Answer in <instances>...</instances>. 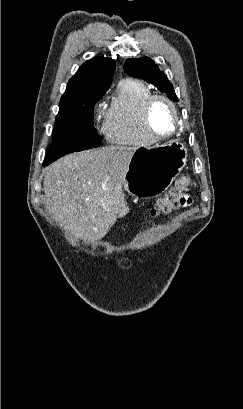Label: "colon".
I'll return each instance as SVG.
<instances>
[{
  "mask_svg": "<svg viewBox=\"0 0 243 409\" xmlns=\"http://www.w3.org/2000/svg\"><path fill=\"white\" fill-rule=\"evenodd\" d=\"M193 187V181L189 176L179 178L175 186L161 197L151 209L152 218L165 215L174 209L190 203L189 190Z\"/></svg>",
  "mask_w": 243,
  "mask_h": 409,
  "instance_id": "colon-1",
  "label": "colon"
}]
</instances>
